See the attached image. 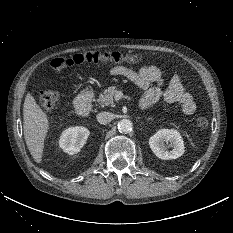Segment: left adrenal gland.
<instances>
[{
    "instance_id": "1",
    "label": "left adrenal gland",
    "mask_w": 233,
    "mask_h": 233,
    "mask_svg": "<svg viewBox=\"0 0 233 233\" xmlns=\"http://www.w3.org/2000/svg\"><path fill=\"white\" fill-rule=\"evenodd\" d=\"M149 120H153V119L152 118H148L147 121H149Z\"/></svg>"
}]
</instances>
